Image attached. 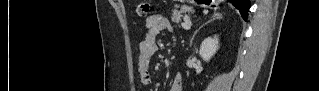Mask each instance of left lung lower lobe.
Instances as JSON below:
<instances>
[{
    "label": "left lung lower lobe",
    "instance_id": "0a47b994",
    "mask_svg": "<svg viewBox=\"0 0 319 91\" xmlns=\"http://www.w3.org/2000/svg\"><path fill=\"white\" fill-rule=\"evenodd\" d=\"M229 1L240 11L243 19L247 20L248 10L250 8V1L249 0H229Z\"/></svg>",
    "mask_w": 319,
    "mask_h": 91
}]
</instances>
